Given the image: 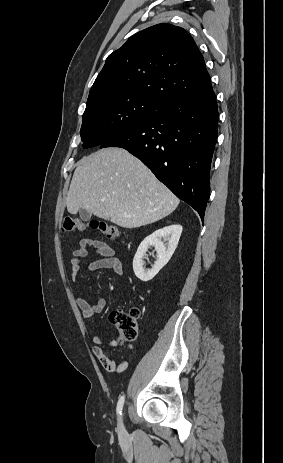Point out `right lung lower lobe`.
<instances>
[{
  "mask_svg": "<svg viewBox=\"0 0 283 463\" xmlns=\"http://www.w3.org/2000/svg\"><path fill=\"white\" fill-rule=\"evenodd\" d=\"M213 89L165 101L145 120L100 145L139 158L177 197L204 219L209 173L217 139Z\"/></svg>",
  "mask_w": 283,
  "mask_h": 463,
  "instance_id": "right-lung-lower-lobe-1",
  "label": "right lung lower lobe"
}]
</instances>
